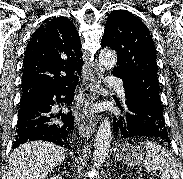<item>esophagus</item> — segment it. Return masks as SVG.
Listing matches in <instances>:
<instances>
[{"instance_id": "1", "label": "esophagus", "mask_w": 183, "mask_h": 179, "mask_svg": "<svg viewBox=\"0 0 183 179\" xmlns=\"http://www.w3.org/2000/svg\"><path fill=\"white\" fill-rule=\"evenodd\" d=\"M102 75L103 69L100 65L87 63L84 74V99L82 100V106L75 110L76 125L82 137H90L96 126V119L90 112V107L97 99Z\"/></svg>"}]
</instances>
